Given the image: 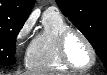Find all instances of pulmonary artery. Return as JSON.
Returning a JSON list of instances; mask_svg holds the SVG:
<instances>
[{
  "mask_svg": "<svg viewBox=\"0 0 107 75\" xmlns=\"http://www.w3.org/2000/svg\"><path fill=\"white\" fill-rule=\"evenodd\" d=\"M47 10H54V8L53 7H49V8H47Z\"/></svg>",
  "mask_w": 107,
  "mask_h": 75,
  "instance_id": "e3ab8cb5",
  "label": "pulmonary artery"
}]
</instances>
